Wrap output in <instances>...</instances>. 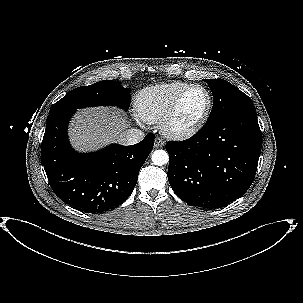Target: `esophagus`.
<instances>
[{
    "label": "esophagus",
    "mask_w": 303,
    "mask_h": 303,
    "mask_svg": "<svg viewBox=\"0 0 303 303\" xmlns=\"http://www.w3.org/2000/svg\"><path fill=\"white\" fill-rule=\"evenodd\" d=\"M165 145V141L162 138H155L154 147L155 148H162Z\"/></svg>",
    "instance_id": "obj_1"
}]
</instances>
